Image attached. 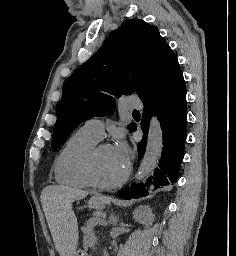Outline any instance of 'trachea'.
Here are the masks:
<instances>
[{
    "label": "trachea",
    "instance_id": "obj_1",
    "mask_svg": "<svg viewBox=\"0 0 236 256\" xmlns=\"http://www.w3.org/2000/svg\"><path fill=\"white\" fill-rule=\"evenodd\" d=\"M134 112H138V110H134Z\"/></svg>",
    "mask_w": 236,
    "mask_h": 256
}]
</instances>
